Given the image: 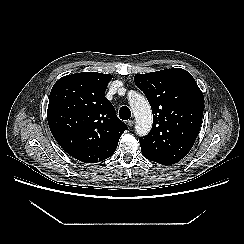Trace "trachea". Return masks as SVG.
Returning <instances> with one entry per match:
<instances>
[{
	"mask_svg": "<svg viewBox=\"0 0 244 244\" xmlns=\"http://www.w3.org/2000/svg\"><path fill=\"white\" fill-rule=\"evenodd\" d=\"M119 117L122 120H128V119H130V117H131V111H130V109L127 106L121 107L120 108V111H119Z\"/></svg>",
	"mask_w": 244,
	"mask_h": 244,
	"instance_id": "trachea-1",
	"label": "trachea"
}]
</instances>
